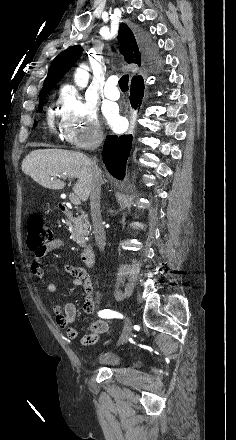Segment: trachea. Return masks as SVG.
Listing matches in <instances>:
<instances>
[{
  "label": "trachea",
  "mask_w": 236,
  "mask_h": 440,
  "mask_svg": "<svg viewBox=\"0 0 236 440\" xmlns=\"http://www.w3.org/2000/svg\"><path fill=\"white\" fill-rule=\"evenodd\" d=\"M129 75H123L119 80V87L122 91L128 90Z\"/></svg>",
  "instance_id": "1"
}]
</instances>
